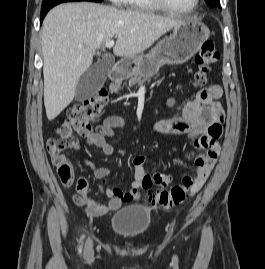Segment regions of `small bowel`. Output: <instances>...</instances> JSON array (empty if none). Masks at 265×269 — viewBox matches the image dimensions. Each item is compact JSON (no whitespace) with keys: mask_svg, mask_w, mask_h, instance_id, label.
Listing matches in <instances>:
<instances>
[{"mask_svg":"<svg viewBox=\"0 0 265 269\" xmlns=\"http://www.w3.org/2000/svg\"><path fill=\"white\" fill-rule=\"evenodd\" d=\"M222 96V88L219 85H212L200 92L189 102L184 104L179 113L171 118L155 121L152 129L160 134H187L194 142V146L201 150L196 157V191L203 186L210 172L217 161L220 151L218 139L209 135V128L213 123L219 124L224 119V111L218 102ZM175 100L170 98L166 105L171 107ZM127 122L118 116L105 118L95 132L87 137V143L101 150L105 155L114 153L113 146L108 143L107 137L114 135V129L124 127ZM74 149H79L77 140L73 144ZM146 158L137 155L133 158L135 171L134 180L129 189L123 190L117 187H110L108 179L110 170L107 167H95L89 162L94 177L99 181L98 188L109 200L107 203H98L88 197V182L80 177L76 183L77 194L73 200L76 205L83 207L90 216L98 217L106 215L110 211L118 210L122 203L137 201L140 196V189H147L153 183L167 185L171 176L156 173L150 175L145 168Z\"/></svg>","mask_w":265,"mask_h":269,"instance_id":"obj_1","label":"small bowel"}]
</instances>
